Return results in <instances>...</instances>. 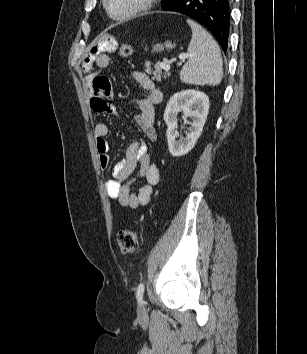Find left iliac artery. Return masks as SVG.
<instances>
[{
  "label": "left iliac artery",
  "mask_w": 307,
  "mask_h": 354,
  "mask_svg": "<svg viewBox=\"0 0 307 354\" xmlns=\"http://www.w3.org/2000/svg\"><path fill=\"white\" fill-rule=\"evenodd\" d=\"M144 289H145L144 283L141 282V283L138 285V287H137V292H136V297H137L139 303H142V302H143L142 299H143Z\"/></svg>",
  "instance_id": "obj_1"
}]
</instances>
